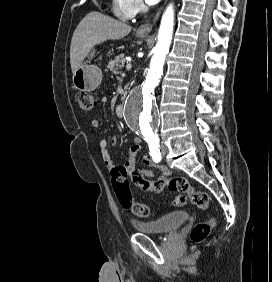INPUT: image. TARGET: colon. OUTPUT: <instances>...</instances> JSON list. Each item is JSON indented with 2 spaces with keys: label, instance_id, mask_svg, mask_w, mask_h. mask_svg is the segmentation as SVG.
<instances>
[{
  "label": "colon",
  "instance_id": "colon-1",
  "mask_svg": "<svg viewBox=\"0 0 272 282\" xmlns=\"http://www.w3.org/2000/svg\"><path fill=\"white\" fill-rule=\"evenodd\" d=\"M76 102L83 112H90L96 106V99L93 95L85 92L76 94ZM129 171L125 166H118L114 170L113 186L116 196L124 209L131 210L135 215L146 217L151 214L149 207L143 203L134 200L129 180ZM131 180L137 187H144L148 184L149 179L139 172L131 174ZM157 182L164 184L169 190L177 191L181 194L173 199L175 206H183L186 198L183 194L190 197L192 203L199 209L208 211L210 209V197L202 191L194 188L189 181L184 177H172L170 179L158 178ZM216 224L213 215L209 214L208 217L195 224L190 233L192 243L199 244L203 242L211 233Z\"/></svg>",
  "mask_w": 272,
  "mask_h": 282
}]
</instances>
